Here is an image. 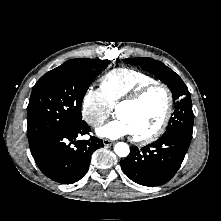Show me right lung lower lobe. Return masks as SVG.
Listing matches in <instances>:
<instances>
[{
	"mask_svg": "<svg viewBox=\"0 0 221 221\" xmlns=\"http://www.w3.org/2000/svg\"><path fill=\"white\" fill-rule=\"evenodd\" d=\"M85 121L50 134L30 147L31 154L41 170L50 179L71 184L80 180L88 171L92 153L103 146V141L91 136L89 140H76L89 134Z\"/></svg>",
	"mask_w": 221,
	"mask_h": 221,
	"instance_id": "right-lung-lower-lobe-1",
	"label": "right lung lower lobe"
}]
</instances>
